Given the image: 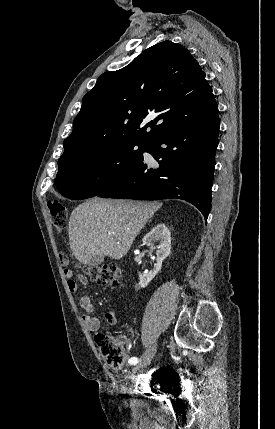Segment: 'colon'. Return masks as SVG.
Returning <instances> with one entry per match:
<instances>
[{
  "label": "colon",
  "mask_w": 275,
  "mask_h": 429,
  "mask_svg": "<svg viewBox=\"0 0 275 429\" xmlns=\"http://www.w3.org/2000/svg\"><path fill=\"white\" fill-rule=\"evenodd\" d=\"M48 209L54 228L56 231L61 232L68 223L66 206L54 200L48 202ZM59 257L63 265L67 264L68 259L65 254L61 253ZM121 276L122 270L115 263L86 266L83 268V274L81 275L83 278H89L99 284L112 287L118 286ZM95 342L105 364L112 370H120L127 358L122 338L99 333L95 336Z\"/></svg>",
  "instance_id": "colon-1"
}]
</instances>
